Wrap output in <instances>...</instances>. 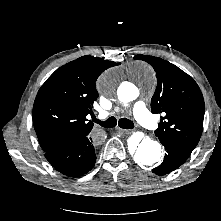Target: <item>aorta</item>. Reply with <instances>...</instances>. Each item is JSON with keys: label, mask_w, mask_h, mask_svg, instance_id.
I'll list each match as a JSON object with an SVG mask.
<instances>
[{"label": "aorta", "mask_w": 221, "mask_h": 221, "mask_svg": "<svg viewBox=\"0 0 221 221\" xmlns=\"http://www.w3.org/2000/svg\"><path fill=\"white\" fill-rule=\"evenodd\" d=\"M135 68L141 71L149 79H154L152 68L146 63H137ZM116 85L115 76L112 74L104 75L100 80V87L103 93L111 95ZM137 97L135 90H119L118 99L123 103L133 101ZM134 161L142 167L153 166L161 159V145L151 139H143L133 151Z\"/></svg>", "instance_id": "1"}]
</instances>
